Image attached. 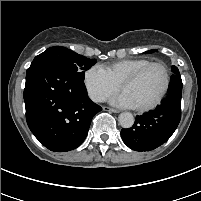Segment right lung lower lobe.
Wrapping results in <instances>:
<instances>
[{"label": "right lung lower lobe", "instance_id": "obj_1", "mask_svg": "<svg viewBox=\"0 0 201 201\" xmlns=\"http://www.w3.org/2000/svg\"><path fill=\"white\" fill-rule=\"evenodd\" d=\"M24 101L29 129L55 152L77 148L86 138L93 116L102 110L88 98L76 72L50 62L28 68Z\"/></svg>", "mask_w": 201, "mask_h": 201}]
</instances>
